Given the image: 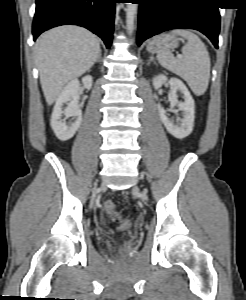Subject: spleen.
Returning a JSON list of instances; mask_svg holds the SVG:
<instances>
[{"instance_id":"obj_1","label":"spleen","mask_w":246,"mask_h":300,"mask_svg":"<svg viewBox=\"0 0 246 300\" xmlns=\"http://www.w3.org/2000/svg\"><path fill=\"white\" fill-rule=\"evenodd\" d=\"M172 34L187 39L182 48V56L175 58L166 50L157 53L159 64L186 81L196 96H201L208 88L210 78V57L205 44L193 32L184 29L172 31Z\"/></svg>"}]
</instances>
